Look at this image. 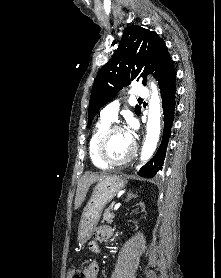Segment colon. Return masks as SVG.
Here are the masks:
<instances>
[{
	"instance_id": "colon-1",
	"label": "colon",
	"mask_w": 221,
	"mask_h": 278,
	"mask_svg": "<svg viewBox=\"0 0 221 278\" xmlns=\"http://www.w3.org/2000/svg\"><path fill=\"white\" fill-rule=\"evenodd\" d=\"M66 278H86V273L84 269L80 267H71L67 271Z\"/></svg>"
}]
</instances>
